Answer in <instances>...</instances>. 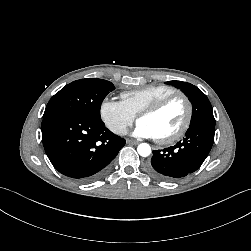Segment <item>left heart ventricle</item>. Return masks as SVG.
Listing matches in <instances>:
<instances>
[{"label":"left heart ventricle","instance_id":"b2bd125f","mask_svg":"<svg viewBox=\"0 0 251 251\" xmlns=\"http://www.w3.org/2000/svg\"><path fill=\"white\" fill-rule=\"evenodd\" d=\"M185 115V103L181 99H175L157 114L142 117L139 122L148 125L157 138H162L176 132L182 125Z\"/></svg>","mask_w":251,"mask_h":251}]
</instances>
